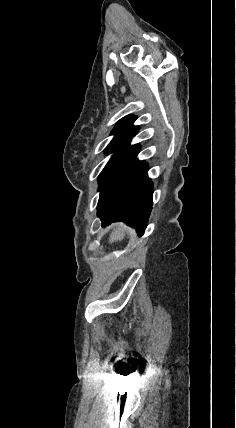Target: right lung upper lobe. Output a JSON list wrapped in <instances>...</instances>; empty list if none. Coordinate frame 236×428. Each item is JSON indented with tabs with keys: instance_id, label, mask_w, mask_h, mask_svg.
<instances>
[{
	"instance_id": "cb5924a9",
	"label": "right lung upper lobe",
	"mask_w": 236,
	"mask_h": 428,
	"mask_svg": "<svg viewBox=\"0 0 236 428\" xmlns=\"http://www.w3.org/2000/svg\"><path fill=\"white\" fill-rule=\"evenodd\" d=\"M135 120L136 117L130 115L122 118L116 124L114 130L112 131V134H115V137L107 146L106 151L129 146L128 144L131 138L134 137L138 131V127L133 126Z\"/></svg>"
}]
</instances>
